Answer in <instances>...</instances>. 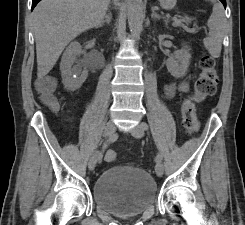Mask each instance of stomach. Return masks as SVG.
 <instances>
[{"instance_id":"stomach-1","label":"stomach","mask_w":245,"mask_h":225,"mask_svg":"<svg viewBox=\"0 0 245 225\" xmlns=\"http://www.w3.org/2000/svg\"><path fill=\"white\" fill-rule=\"evenodd\" d=\"M159 2L160 6L166 10L172 9L176 4V0H159Z\"/></svg>"}]
</instances>
